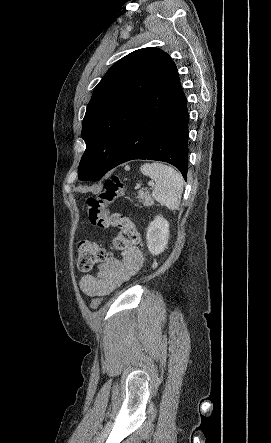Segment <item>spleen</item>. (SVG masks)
I'll use <instances>...</instances> for the list:
<instances>
[{
	"label": "spleen",
	"instance_id": "obj_1",
	"mask_svg": "<svg viewBox=\"0 0 271 443\" xmlns=\"http://www.w3.org/2000/svg\"><path fill=\"white\" fill-rule=\"evenodd\" d=\"M141 174L154 180L152 196L156 202L166 206L169 210H179L183 192V178L171 166L164 164H144L140 168Z\"/></svg>",
	"mask_w": 271,
	"mask_h": 443
}]
</instances>
